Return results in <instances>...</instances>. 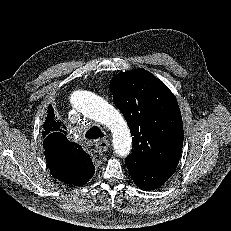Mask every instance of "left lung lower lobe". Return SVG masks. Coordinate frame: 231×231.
Returning <instances> with one entry per match:
<instances>
[{
  "label": "left lung lower lobe",
  "instance_id": "1",
  "mask_svg": "<svg viewBox=\"0 0 231 231\" xmlns=\"http://www.w3.org/2000/svg\"><path fill=\"white\" fill-rule=\"evenodd\" d=\"M129 173L142 190H154L161 187L174 173L176 167L161 168L150 165H132L126 162Z\"/></svg>",
  "mask_w": 231,
  "mask_h": 231
}]
</instances>
